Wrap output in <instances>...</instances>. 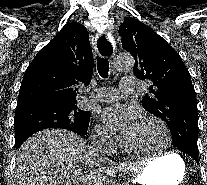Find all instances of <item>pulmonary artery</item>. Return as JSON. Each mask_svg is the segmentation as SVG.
<instances>
[{
	"mask_svg": "<svg viewBox=\"0 0 207 185\" xmlns=\"http://www.w3.org/2000/svg\"><path fill=\"white\" fill-rule=\"evenodd\" d=\"M121 86H122V90L113 87L101 88L96 92H92L90 94V98L101 102L115 100L120 97V94L122 92L127 93L130 91H135V86H137V81H134V77H122Z\"/></svg>",
	"mask_w": 207,
	"mask_h": 185,
	"instance_id": "e3ab8cb5",
	"label": "pulmonary artery"
}]
</instances>
